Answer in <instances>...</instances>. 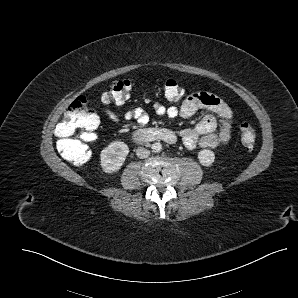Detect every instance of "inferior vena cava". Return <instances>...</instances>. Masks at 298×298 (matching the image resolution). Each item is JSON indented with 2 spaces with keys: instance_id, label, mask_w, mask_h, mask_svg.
Here are the masks:
<instances>
[{
  "instance_id": "obj_1",
  "label": "inferior vena cava",
  "mask_w": 298,
  "mask_h": 298,
  "mask_svg": "<svg viewBox=\"0 0 298 298\" xmlns=\"http://www.w3.org/2000/svg\"><path fill=\"white\" fill-rule=\"evenodd\" d=\"M136 155H137V157L144 159L150 155V151L144 147H138L136 149Z\"/></svg>"
}]
</instances>
